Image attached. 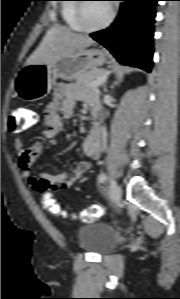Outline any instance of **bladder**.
Masks as SVG:
<instances>
[{"label":"bladder","mask_w":180,"mask_h":299,"mask_svg":"<svg viewBox=\"0 0 180 299\" xmlns=\"http://www.w3.org/2000/svg\"><path fill=\"white\" fill-rule=\"evenodd\" d=\"M78 246L94 254L112 251L119 242L116 230L103 221H90L82 224L76 232Z\"/></svg>","instance_id":"obj_1"}]
</instances>
